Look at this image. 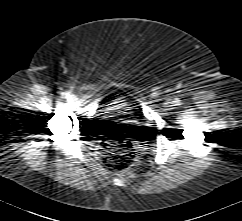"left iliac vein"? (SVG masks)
<instances>
[{"label":"left iliac vein","instance_id":"4c4485c4","mask_svg":"<svg viewBox=\"0 0 242 221\" xmlns=\"http://www.w3.org/2000/svg\"><path fill=\"white\" fill-rule=\"evenodd\" d=\"M170 104H172V103H171V100L167 101V105H170Z\"/></svg>","mask_w":242,"mask_h":221}]
</instances>
